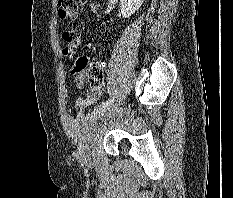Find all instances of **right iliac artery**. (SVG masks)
<instances>
[{"instance_id":"82829eb1","label":"right iliac artery","mask_w":233,"mask_h":198,"mask_svg":"<svg viewBox=\"0 0 233 198\" xmlns=\"http://www.w3.org/2000/svg\"><path fill=\"white\" fill-rule=\"evenodd\" d=\"M114 100H115V98H112L110 100L102 102V104L100 105V109H103V108L110 106L114 102Z\"/></svg>"}]
</instances>
